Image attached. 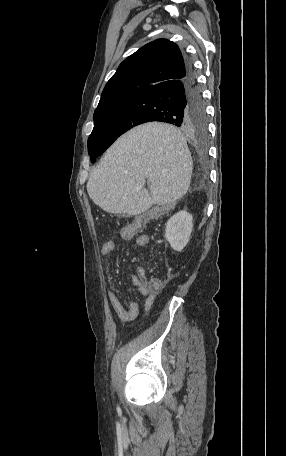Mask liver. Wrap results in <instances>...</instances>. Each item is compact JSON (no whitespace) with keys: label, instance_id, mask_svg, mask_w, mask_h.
Masks as SVG:
<instances>
[{"label":"liver","instance_id":"1","mask_svg":"<svg viewBox=\"0 0 286 456\" xmlns=\"http://www.w3.org/2000/svg\"><path fill=\"white\" fill-rule=\"evenodd\" d=\"M193 162L176 127L159 122L122 135L92 171L87 192L104 211L134 216L152 205L182 198L190 186ZM150 182V193L144 189Z\"/></svg>","mask_w":286,"mask_h":456}]
</instances>
